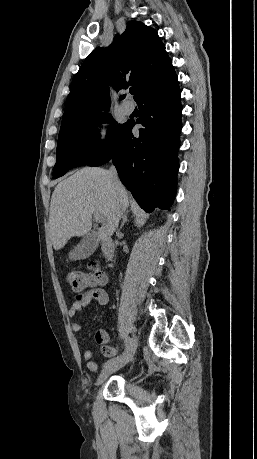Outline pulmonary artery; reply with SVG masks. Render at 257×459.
<instances>
[{"instance_id":"pulmonary-artery-1","label":"pulmonary artery","mask_w":257,"mask_h":459,"mask_svg":"<svg viewBox=\"0 0 257 459\" xmlns=\"http://www.w3.org/2000/svg\"><path fill=\"white\" fill-rule=\"evenodd\" d=\"M121 109H122V111H123L125 114L129 115V114H131V113L133 112V110H134V104H133V102H131V101H129V100L124 101V102L121 104Z\"/></svg>"}]
</instances>
